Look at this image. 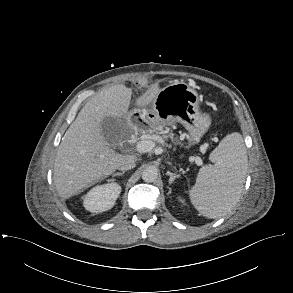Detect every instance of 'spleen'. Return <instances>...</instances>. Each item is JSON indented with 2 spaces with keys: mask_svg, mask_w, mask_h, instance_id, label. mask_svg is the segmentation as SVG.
Instances as JSON below:
<instances>
[{
  "mask_svg": "<svg viewBox=\"0 0 293 293\" xmlns=\"http://www.w3.org/2000/svg\"><path fill=\"white\" fill-rule=\"evenodd\" d=\"M210 159L214 165L200 169L189 196L203 216L215 219L236 205L243 189L248 158L242 135L234 132L224 137Z\"/></svg>",
  "mask_w": 293,
  "mask_h": 293,
  "instance_id": "obj_1",
  "label": "spleen"
}]
</instances>
